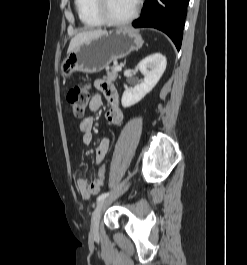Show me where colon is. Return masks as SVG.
<instances>
[{
  "label": "colon",
  "instance_id": "obj_1",
  "mask_svg": "<svg viewBox=\"0 0 247 265\" xmlns=\"http://www.w3.org/2000/svg\"><path fill=\"white\" fill-rule=\"evenodd\" d=\"M90 99V90L87 84H76L67 93L66 100L74 116L81 117L85 113ZM103 162V161H102ZM101 162V163H102ZM107 167L103 163L98 171V180L104 184L106 181Z\"/></svg>",
  "mask_w": 247,
  "mask_h": 265
}]
</instances>
